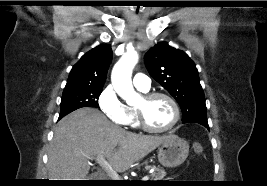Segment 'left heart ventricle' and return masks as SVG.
I'll return each instance as SVG.
<instances>
[{
    "mask_svg": "<svg viewBox=\"0 0 267 186\" xmlns=\"http://www.w3.org/2000/svg\"><path fill=\"white\" fill-rule=\"evenodd\" d=\"M138 106L144 107L146 121L153 128L166 127L174 116L171 103L163 97L155 98L148 103L142 100Z\"/></svg>",
    "mask_w": 267,
    "mask_h": 186,
    "instance_id": "b2bd125f",
    "label": "left heart ventricle"
}]
</instances>
